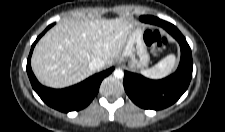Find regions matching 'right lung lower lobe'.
Segmentation results:
<instances>
[{"mask_svg":"<svg viewBox=\"0 0 225 132\" xmlns=\"http://www.w3.org/2000/svg\"><path fill=\"white\" fill-rule=\"evenodd\" d=\"M52 26L53 24L49 25L33 43L27 60V73L33 89L47 105L62 112L79 111L90 104L98 93L102 80L114 70V67L95 74L83 82L68 88L51 89L42 86L31 70L30 60L36 42Z\"/></svg>","mask_w":225,"mask_h":132,"instance_id":"obj_1","label":"right lung lower lobe"}]
</instances>
